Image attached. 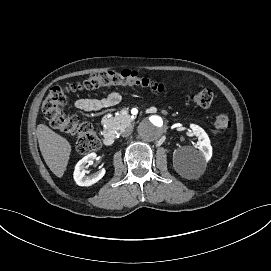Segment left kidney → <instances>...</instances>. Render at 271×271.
I'll list each match as a JSON object with an SVG mask.
<instances>
[{"label": "left kidney", "mask_w": 271, "mask_h": 271, "mask_svg": "<svg viewBox=\"0 0 271 271\" xmlns=\"http://www.w3.org/2000/svg\"><path fill=\"white\" fill-rule=\"evenodd\" d=\"M189 127L200 139L198 149L187 150L186 148H177L174 151L173 163L177 171L193 176L196 173L195 170L201 165L202 160L208 161L211 158L212 146L208 134L201 126L190 123Z\"/></svg>", "instance_id": "1"}]
</instances>
